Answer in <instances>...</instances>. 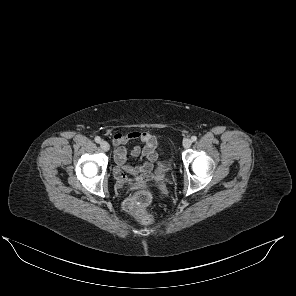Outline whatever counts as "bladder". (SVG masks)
Segmentation results:
<instances>
[{"mask_svg": "<svg viewBox=\"0 0 296 296\" xmlns=\"http://www.w3.org/2000/svg\"><path fill=\"white\" fill-rule=\"evenodd\" d=\"M169 164L166 162V160L161 159L157 165L156 168V174L159 176L166 175L169 172Z\"/></svg>", "mask_w": 296, "mask_h": 296, "instance_id": "31cf9c89", "label": "bladder"}]
</instances>
